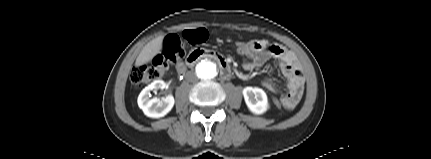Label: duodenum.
I'll list each match as a JSON object with an SVG mask.
<instances>
[{"instance_id": "obj_1", "label": "duodenum", "mask_w": 431, "mask_h": 159, "mask_svg": "<svg viewBox=\"0 0 431 159\" xmlns=\"http://www.w3.org/2000/svg\"><path fill=\"white\" fill-rule=\"evenodd\" d=\"M203 59H209L216 62L221 70L223 77L228 78L231 76V67L229 63L226 61V59L219 53L211 50L196 49L190 52L186 60V65L188 67H192L198 61ZM185 70H186V66H184L183 70H178V71L180 73H184Z\"/></svg>"}]
</instances>
